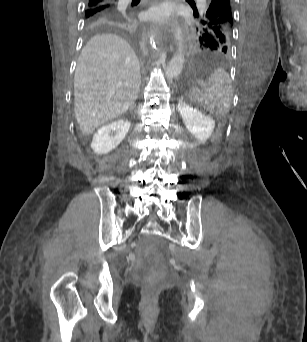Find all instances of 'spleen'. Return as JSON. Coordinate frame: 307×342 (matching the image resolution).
<instances>
[{
  "mask_svg": "<svg viewBox=\"0 0 307 342\" xmlns=\"http://www.w3.org/2000/svg\"><path fill=\"white\" fill-rule=\"evenodd\" d=\"M231 78L223 68H217L208 80L204 92L194 93V100L203 102L212 114H228L232 102Z\"/></svg>",
  "mask_w": 307,
  "mask_h": 342,
  "instance_id": "spleen-1",
  "label": "spleen"
}]
</instances>
